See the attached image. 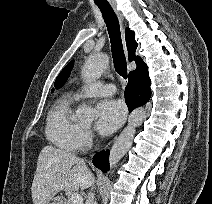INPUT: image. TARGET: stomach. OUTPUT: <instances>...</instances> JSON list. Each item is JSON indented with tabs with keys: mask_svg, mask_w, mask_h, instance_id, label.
Here are the masks:
<instances>
[{
	"mask_svg": "<svg viewBox=\"0 0 212 204\" xmlns=\"http://www.w3.org/2000/svg\"><path fill=\"white\" fill-rule=\"evenodd\" d=\"M47 204H62V203L58 199H52V200L48 201Z\"/></svg>",
	"mask_w": 212,
	"mask_h": 204,
	"instance_id": "1",
	"label": "stomach"
}]
</instances>
